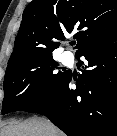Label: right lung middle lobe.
<instances>
[{"instance_id": "1", "label": "right lung middle lobe", "mask_w": 117, "mask_h": 136, "mask_svg": "<svg viewBox=\"0 0 117 136\" xmlns=\"http://www.w3.org/2000/svg\"><path fill=\"white\" fill-rule=\"evenodd\" d=\"M52 56L28 57L7 65L2 114L21 110L31 101L51 92L68 74Z\"/></svg>"}]
</instances>
